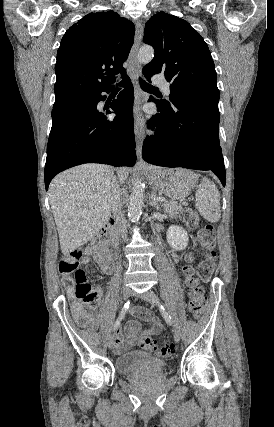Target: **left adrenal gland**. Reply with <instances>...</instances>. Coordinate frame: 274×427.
Returning <instances> with one entry per match:
<instances>
[{"label": "left adrenal gland", "instance_id": "a2214340", "mask_svg": "<svg viewBox=\"0 0 274 427\" xmlns=\"http://www.w3.org/2000/svg\"><path fill=\"white\" fill-rule=\"evenodd\" d=\"M156 198H157L156 190L155 188H152L151 196L149 198V204L150 206H153V208H156V210H160V206Z\"/></svg>", "mask_w": 274, "mask_h": 427}]
</instances>
